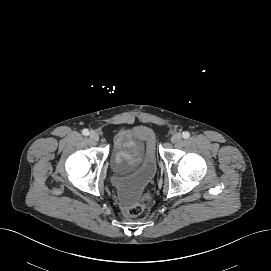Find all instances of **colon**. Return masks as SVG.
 Here are the masks:
<instances>
[{
	"mask_svg": "<svg viewBox=\"0 0 271 271\" xmlns=\"http://www.w3.org/2000/svg\"><path fill=\"white\" fill-rule=\"evenodd\" d=\"M145 210L144 203H136L134 205L128 206L124 209V214L128 217H136L143 213Z\"/></svg>",
	"mask_w": 271,
	"mask_h": 271,
	"instance_id": "obj_1",
	"label": "colon"
}]
</instances>
